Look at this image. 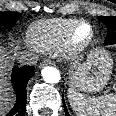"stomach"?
<instances>
[{"label":"stomach","mask_w":116,"mask_h":116,"mask_svg":"<svg viewBox=\"0 0 116 116\" xmlns=\"http://www.w3.org/2000/svg\"><path fill=\"white\" fill-rule=\"evenodd\" d=\"M112 64L111 56L105 50L91 51L86 62L71 72V87L85 92L100 91L110 79Z\"/></svg>","instance_id":"obj_1"}]
</instances>
